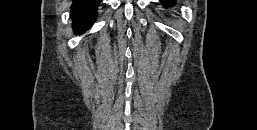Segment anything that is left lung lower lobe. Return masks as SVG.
Segmentation results:
<instances>
[{"mask_svg": "<svg viewBox=\"0 0 257 130\" xmlns=\"http://www.w3.org/2000/svg\"><path fill=\"white\" fill-rule=\"evenodd\" d=\"M161 2L166 8L175 4V0H161Z\"/></svg>", "mask_w": 257, "mask_h": 130, "instance_id": "1", "label": "left lung lower lobe"}]
</instances>
